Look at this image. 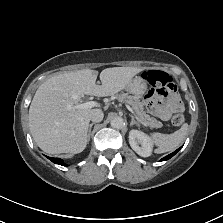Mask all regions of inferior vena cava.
<instances>
[{
	"mask_svg": "<svg viewBox=\"0 0 223 223\" xmlns=\"http://www.w3.org/2000/svg\"><path fill=\"white\" fill-rule=\"evenodd\" d=\"M103 117H104V114L101 109H93L90 113V119L94 122L102 121Z\"/></svg>",
	"mask_w": 223,
	"mask_h": 223,
	"instance_id": "obj_1",
	"label": "inferior vena cava"
}]
</instances>
